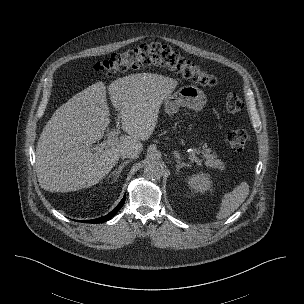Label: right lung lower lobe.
<instances>
[{
  "label": "right lung lower lobe",
  "instance_id": "1",
  "mask_svg": "<svg viewBox=\"0 0 304 304\" xmlns=\"http://www.w3.org/2000/svg\"><path fill=\"white\" fill-rule=\"evenodd\" d=\"M125 198H126V196L124 195L121 202L106 216H103V217H100V218H97V219H93V220H85V221H82V222H84V223H102V222L110 220L120 210V208L123 206V204L125 202Z\"/></svg>",
  "mask_w": 304,
  "mask_h": 304
}]
</instances>
